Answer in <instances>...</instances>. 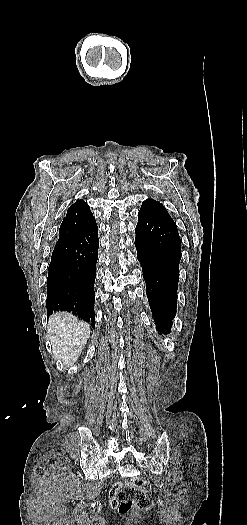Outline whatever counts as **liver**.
Masks as SVG:
<instances>
[{
	"mask_svg": "<svg viewBox=\"0 0 247 525\" xmlns=\"http://www.w3.org/2000/svg\"><path fill=\"white\" fill-rule=\"evenodd\" d=\"M47 335L58 369H70L78 361L90 335V325L71 313H55L48 319Z\"/></svg>",
	"mask_w": 247,
	"mask_h": 525,
	"instance_id": "6515ba94",
	"label": "liver"
}]
</instances>
